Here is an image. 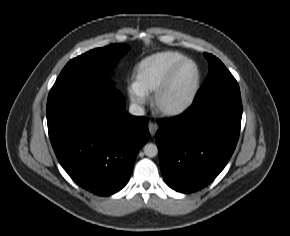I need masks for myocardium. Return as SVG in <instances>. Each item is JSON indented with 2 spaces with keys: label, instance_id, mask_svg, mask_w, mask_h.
I'll use <instances>...</instances> for the list:
<instances>
[{
  "label": "myocardium",
  "instance_id": "f54148a6",
  "mask_svg": "<svg viewBox=\"0 0 290 236\" xmlns=\"http://www.w3.org/2000/svg\"><path fill=\"white\" fill-rule=\"evenodd\" d=\"M186 64H192L195 67L196 70V79H195V84L193 87V90L191 94L188 96V98L182 102L181 104L173 107H166L163 106L160 103V99L162 95L166 92V90L169 88L171 85L175 75L178 73V71ZM201 87V70L199 65L197 64L196 61L190 58H185L178 62L169 72L168 76L164 80V82L154 91L152 98H151V104L154 109V111L163 117H173L180 115L184 113L186 110H188L192 104L194 103L199 90Z\"/></svg>",
  "mask_w": 290,
  "mask_h": 236
}]
</instances>
